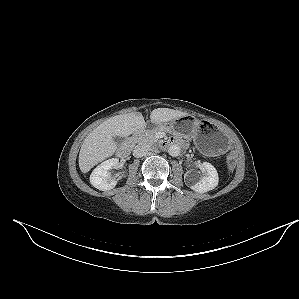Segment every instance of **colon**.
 Returning <instances> with one entry per match:
<instances>
[{
  "instance_id": "1",
  "label": "colon",
  "mask_w": 299,
  "mask_h": 299,
  "mask_svg": "<svg viewBox=\"0 0 299 299\" xmlns=\"http://www.w3.org/2000/svg\"><path fill=\"white\" fill-rule=\"evenodd\" d=\"M228 167H229L230 169H232V168L234 167V160H233L232 158H230V159L228 160Z\"/></svg>"
}]
</instances>
